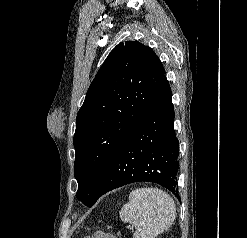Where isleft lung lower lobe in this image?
Instances as JSON below:
<instances>
[{
  "mask_svg": "<svg viewBox=\"0 0 247 238\" xmlns=\"http://www.w3.org/2000/svg\"><path fill=\"white\" fill-rule=\"evenodd\" d=\"M174 116L171 88L164 76L149 106L114 156L98 198L140 181L160 184L178 197L179 142Z\"/></svg>",
  "mask_w": 247,
  "mask_h": 238,
  "instance_id": "obj_1",
  "label": "left lung lower lobe"
}]
</instances>
